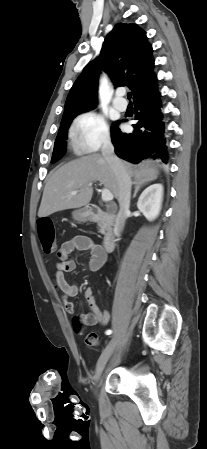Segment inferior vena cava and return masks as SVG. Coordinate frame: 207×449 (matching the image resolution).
Masks as SVG:
<instances>
[{"mask_svg": "<svg viewBox=\"0 0 207 449\" xmlns=\"http://www.w3.org/2000/svg\"><path fill=\"white\" fill-rule=\"evenodd\" d=\"M102 156L113 170L119 189V212L116 217V229L122 232L130 207L131 179L122 161L115 155L114 146L110 139L102 145Z\"/></svg>", "mask_w": 207, "mask_h": 449, "instance_id": "602c4592", "label": "inferior vena cava"}]
</instances>
